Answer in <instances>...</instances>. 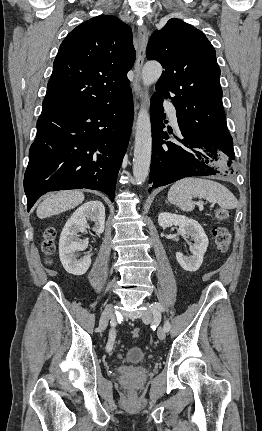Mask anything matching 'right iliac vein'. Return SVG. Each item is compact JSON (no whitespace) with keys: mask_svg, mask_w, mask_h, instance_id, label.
Masks as SVG:
<instances>
[{"mask_svg":"<svg viewBox=\"0 0 262 431\" xmlns=\"http://www.w3.org/2000/svg\"><path fill=\"white\" fill-rule=\"evenodd\" d=\"M114 314V305L110 304L105 307L100 321H99V328L101 331H104L109 323V321L112 319Z\"/></svg>","mask_w":262,"mask_h":431,"instance_id":"1","label":"right iliac vein"}]
</instances>
